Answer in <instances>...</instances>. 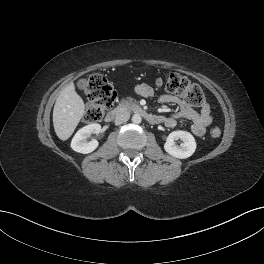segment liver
Instances as JSON below:
<instances>
[{
    "mask_svg": "<svg viewBox=\"0 0 264 264\" xmlns=\"http://www.w3.org/2000/svg\"><path fill=\"white\" fill-rule=\"evenodd\" d=\"M85 112L83 99L75 91L73 83L62 89L53 109V125L56 135L66 141L74 132Z\"/></svg>",
    "mask_w": 264,
    "mask_h": 264,
    "instance_id": "liver-1",
    "label": "liver"
}]
</instances>
